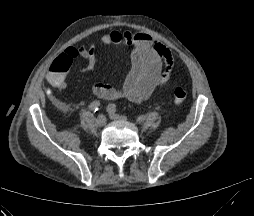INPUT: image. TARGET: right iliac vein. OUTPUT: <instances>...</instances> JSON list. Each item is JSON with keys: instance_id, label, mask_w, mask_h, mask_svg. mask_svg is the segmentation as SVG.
Segmentation results:
<instances>
[{"instance_id": "right-iliac-vein-1", "label": "right iliac vein", "mask_w": 254, "mask_h": 216, "mask_svg": "<svg viewBox=\"0 0 254 216\" xmlns=\"http://www.w3.org/2000/svg\"><path fill=\"white\" fill-rule=\"evenodd\" d=\"M106 117L103 114H100L97 118H96V125L98 127H103L106 124Z\"/></svg>"}]
</instances>
